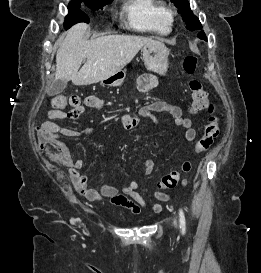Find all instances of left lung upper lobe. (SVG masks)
Masks as SVG:
<instances>
[{
    "label": "left lung upper lobe",
    "instance_id": "obj_1",
    "mask_svg": "<svg viewBox=\"0 0 261 273\" xmlns=\"http://www.w3.org/2000/svg\"><path fill=\"white\" fill-rule=\"evenodd\" d=\"M178 7L183 20L186 23V28L189 30H199L202 28L199 19L193 14L190 9V4L187 0H171Z\"/></svg>",
    "mask_w": 261,
    "mask_h": 273
}]
</instances>
